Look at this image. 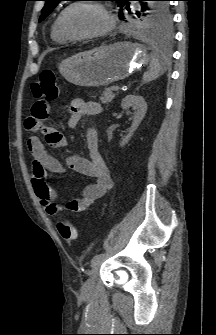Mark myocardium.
<instances>
[{"label": "myocardium", "mask_w": 216, "mask_h": 335, "mask_svg": "<svg viewBox=\"0 0 216 335\" xmlns=\"http://www.w3.org/2000/svg\"><path fill=\"white\" fill-rule=\"evenodd\" d=\"M81 5H91V6H94V7L98 8L107 20L106 27L104 29L100 30V31H96V32H93V33H87V34H72L69 31H67L66 28H65V25H64V18L66 16V14L71 9H73L74 7L81 6ZM57 25H58V29H59L60 33L66 39H68V40H86V39L100 38V37H103V36L109 34L115 26V20L104 5H102V4H100L96 1H77V2H72L71 4H69L67 7H65L60 12V14L58 16V19H57Z\"/></svg>", "instance_id": "myocardium-1"}]
</instances>
